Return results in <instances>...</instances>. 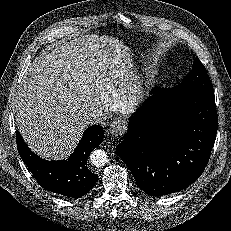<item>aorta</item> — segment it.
Returning <instances> with one entry per match:
<instances>
[{"label":"aorta","instance_id":"aorta-1","mask_svg":"<svg viewBox=\"0 0 231 231\" xmlns=\"http://www.w3.org/2000/svg\"><path fill=\"white\" fill-rule=\"evenodd\" d=\"M90 161L96 167H101L107 162V154L103 150H95L90 154Z\"/></svg>","mask_w":231,"mask_h":231}]
</instances>
